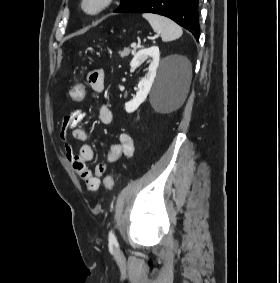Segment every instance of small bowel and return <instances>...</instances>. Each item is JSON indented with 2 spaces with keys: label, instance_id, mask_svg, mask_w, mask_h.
<instances>
[{
  "label": "small bowel",
  "instance_id": "1",
  "mask_svg": "<svg viewBox=\"0 0 280 283\" xmlns=\"http://www.w3.org/2000/svg\"><path fill=\"white\" fill-rule=\"evenodd\" d=\"M88 86L96 93L104 89V71L99 69L91 72L87 78ZM79 103V102H78ZM86 118L85 112L74 110L66 115L62 120L60 138L65 142V158L74 171L83 180L86 188L95 192L100 187V178L103 177L108 168V164L119 160L122 157L130 158L134 154V142L132 137L122 132L118 135V142L114 143L108 152L104 161L98 162L94 169L88 167V162L94 158V150L87 142L88 132L82 127ZM99 121L105 125L112 122V112L106 106L102 105L98 114ZM72 131L75 140L82 142L79 152L75 153L72 145L67 141V132Z\"/></svg>",
  "mask_w": 280,
  "mask_h": 283
}]
</instances>
